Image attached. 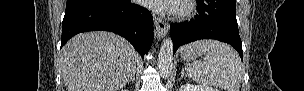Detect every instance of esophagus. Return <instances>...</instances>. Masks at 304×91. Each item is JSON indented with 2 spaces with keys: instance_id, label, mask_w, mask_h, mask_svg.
Returning <instances> with one entry per match:
<instances>
[{
  "instance_id": "obj_1",
  "label": "esophagus",
  "mask_w": 304,
  "mask_h": 91,
  "mask_svg": "<svg viewBox=\"0 0 304 91\" xmlns=\"http://www.w3.org/2000/svg\"><path fill=\"white\" fill-rule=\"evenodd\" d=\"M153 20L155 24V35L158 39H161L168 33L169 24L158 17L156 14H153Z\"/></svg>"
}]
</instances>
